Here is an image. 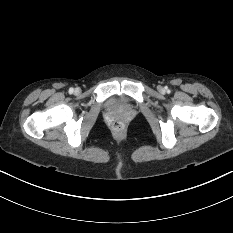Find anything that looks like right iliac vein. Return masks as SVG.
<instances>
[{
	"label": "right iliac vein",
	"instance_id": "right-iliac-vein-1",
	"mask_svg": "<svg viewBox=\"0 0 233 233\" xmlns=\"http://www.w3.org/2000/svg\"><path fill=\"white\" fill-rule=\"evenodd\" d=\"M80 92V89L79 88H76L75 89V94H78Z\"/></svg>",
	"mask_w": 233,
	"mask_h": 233
}]
</instances>
